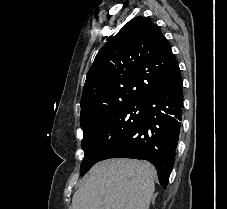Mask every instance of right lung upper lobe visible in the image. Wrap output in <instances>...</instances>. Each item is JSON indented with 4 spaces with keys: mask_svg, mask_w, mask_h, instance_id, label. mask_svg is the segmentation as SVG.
<instances>
[{
    "mask_svg": "<svg viewBox=\"0 0 227 209\" xmlns=\"http://www.w3.org/2000/svg\"><path fill=\"white\" fill-rule=\"evenodd\" d=\"M176 64L160 27L148 17L133 18L96 55L83 88L80 120L102 113L103 99L144 102L169 80L155 69Z\"/></svg>",
    "mask_w": 227,
    "mask_h": 209,
    "instance_id": "obj_1",
    "label": "right lung upper lobe"
}]
</instances>
